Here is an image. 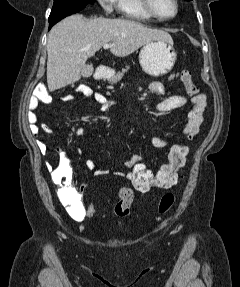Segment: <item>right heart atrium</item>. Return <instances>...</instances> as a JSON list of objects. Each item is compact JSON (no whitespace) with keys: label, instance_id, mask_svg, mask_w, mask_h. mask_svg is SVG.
<instances>
[{"label":"right heart atrium","instance_id":"d8ad5b80","mask_svg":"<svg viewBox=\"0 0 240 287\" xmlns=\"http://www.w3.org/2000/svg\"><path fill=\"white\" fill-rule=\"evenodd\" d=\"M98 2L107 13H112L116 8L117 0H98Z\"/></svg>","mask_w":240,"mask_h":287}]
</instances>
